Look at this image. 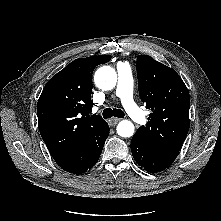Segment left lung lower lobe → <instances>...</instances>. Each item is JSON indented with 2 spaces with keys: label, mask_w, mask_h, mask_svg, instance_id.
<instances>
[{
  "label": "left lung lower lobe",
  "mask_w": 221,
  "mask_h": 221,
  "mask_svg": "<svg viewBox=\"0 0 221 221\" xmlns=\"http://www.w3.org/2000/svg\"><path fill=\"white\" fill-rule=\"evenodd\" d=\"M131 151L135 161L151 173L166 169L177 157V155L156 150L136 135H134L131 140Z\"/></svg>",
  "instance_id": "obj_1"
}]
</instances>
